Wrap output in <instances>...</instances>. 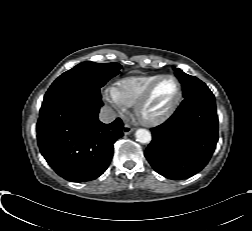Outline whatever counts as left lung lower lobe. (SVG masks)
Wrapping results in <instances>:
<instances>
[{"label":"left lung lower lobe","mask_w":252,"mask_h":231,"mask_svg":"<svg viewBox=\"0 0 252 231\" xmlns=\"http://www.w3.org/2000/svg\"><path fill=\"white\" fill-rule=\"evenodd\" d=\"M145 157L160 175L186 179L201 171L218 141V117L212 93L185 97L175 113L151 129Z\"/></svg>","instance_id":"left-lung-lower-lobe-1"}]
</instances>
